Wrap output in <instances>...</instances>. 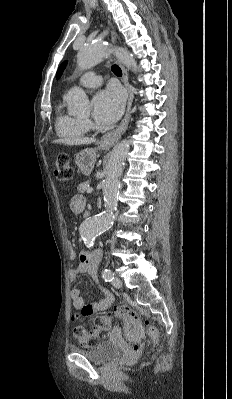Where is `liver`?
<instances>
[{"label":"liver","instance_id":"1","mask_svg":"<svg viewBox=\"0 0 232 399\" xmlns=\"http://www.w3.org/2000/svg\"><path fill=\"white\" fill-rule=\"evenodd\" d=\"M55 144H68V146H80V144H92L93 138H72V140H54Z\"/></svg>","mask_w":232,"mask_h":399}]
</instances>
